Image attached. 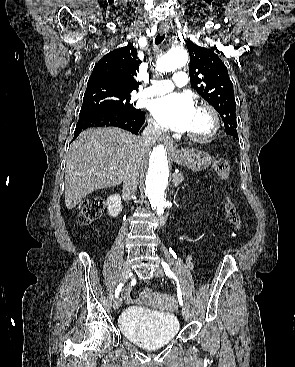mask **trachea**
I'll return each mask as SVG.
<instances>
[{
	"label": "trachea",
	"mask_w": 295,
	"mask_h": 367,
	"mask_svg": "<svg viewBox=\"0 0 295 367\" xmlns=\"http://www.w3.org/2000/svg\"><path fill=\"white\" fill-rule=\"evenodd\" d=\"M164 38H165V34L163 35L158 34L155 39V44L159 45L164 40Z\"/></svg>",
	"instance_id": "trachea-1"
}]
</instances>
